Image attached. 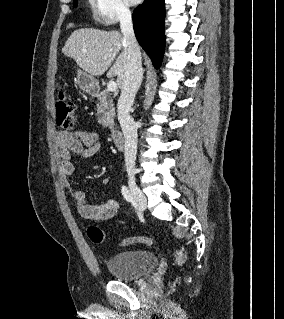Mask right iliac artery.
<instances>
[{
    "label": "right iliac artery",
    "mask_w": 284,
    "mask_h": 319,
    "mask_svg": "<svg viewBox=\"0 0 284 319\" xmlns=\"http://www.w3.org/2000/svg\"><path fill=\"white\" fill-rule=\"evenodd\" d=\"M121 192H122L123 197L126 199V201H128V202L133 201V197L126 186H122Z\"/></svg>",
    "instance_id": "right-iliac-artery-1"
}]
</instances>
